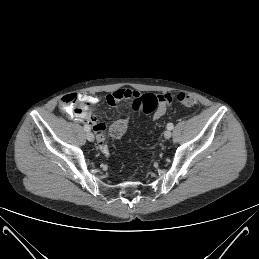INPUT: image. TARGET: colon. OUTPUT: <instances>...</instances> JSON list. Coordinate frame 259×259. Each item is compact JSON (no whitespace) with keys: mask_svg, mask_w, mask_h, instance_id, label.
<instances>
[{"mask_svg":"<svg viewBox=\"0 0 259 259\" xmlns=\"http://www.w3.org/2000/svg\"><path fill=\"white\" fill-rule=\"evenodd\" d=\"M179 103L186 107H194L198 104L195 97L186 93H179L177 95ZM159 99L154 94H143L137 96L133 100V108L135 111L143 114L153 112L158 107ZM127 129V120H119L110 127V135L112 138H120Z\"/></svg>","mask_w":259,"mask_h":259,"instance_id":"5ec220e1","label":"colon"}]
</instances>
